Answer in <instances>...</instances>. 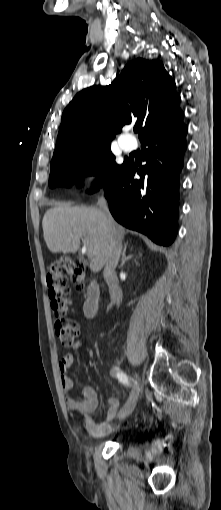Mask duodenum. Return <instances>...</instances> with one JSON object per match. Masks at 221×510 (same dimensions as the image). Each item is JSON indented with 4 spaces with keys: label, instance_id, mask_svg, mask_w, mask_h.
<instances>
[{
    "label": "duodenum",
    "instance_id": "1",
    "mask_svg": "<svg viewBox=\"0 0 221 510\" xmlns=\"http://www.w3.org/2000/svg\"><path fill=\"white\" fill-rule=\"evenodd\" d=\"M100 291L95 280H92L87 288L86 299L83 303L84 315L88 318L93 317L99 307Z\"/></svg>",
    "mask_w": 221,
    "mask_h": 510
}]
</instances>
